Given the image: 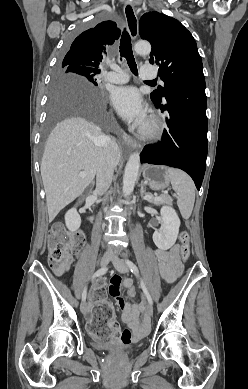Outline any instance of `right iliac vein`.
I'll list each match as a JSON object with an SVG mask.
<instances>
[{"instance_id":"63e3f726","label":"right iliac vein","mask_w":248,"mask_h":389,"mask_svg":"<svg viewBox=\"0 0 248 389\" xmlns=\"http://www.w3.org/2000/svg\"><path fill=\"white\" fill-rule=\"evenodd\" d=\"M111 260V255L109 254H105L102 256L101 260H100V265L105 267L106 265H108L109 261ZM80 309H81V312L83 314H86L87 313V304L85 301H82L81 302V305H80Z\"/></svg>"}]
</instances>
